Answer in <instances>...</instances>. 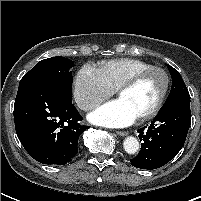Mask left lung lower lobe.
<instances>
[{
	"instance_id": "obj_1",
	"label": "left lung lower lobe",
	"mask_w": 201,
	"mask_h": 201,
	"mask_svg": "<svg viewBox=\"0 0 201 201\" xmlns=\"http://www.w3.org/2000/svg\"><path fill=\"white\" fill-rule=\"evenodd\" d=\"M190 124V97L166 101L148 130H137L141 150L131 165L151 170L167 164L183 147Z\"/></svg>"
}]
</instances>
